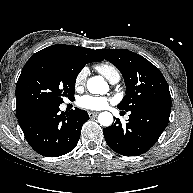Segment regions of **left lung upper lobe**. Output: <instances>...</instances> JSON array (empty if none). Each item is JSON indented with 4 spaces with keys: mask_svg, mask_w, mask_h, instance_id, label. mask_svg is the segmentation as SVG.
Here are the masks:
<instances>
[{
    "mask_svg": "<svg viewBox=\"0 0 193 193\" xmlns=\"http://www.w3.org/2000/svg\"><path fill=\"white\" fill-rule=\"evenodd\" d=\"M98 53L114 64L125 80L126 95L118 105L120 110L133 111L171 99L168 84L160 70L141 55L126 49H102Z\"/></svg>",
    "mask_w": 193,
    "mask_h": 193,
    "instance_id": "left-lung-upper-lobe-1",
    "label": "left lung upper lobe"
}]
</instances>
